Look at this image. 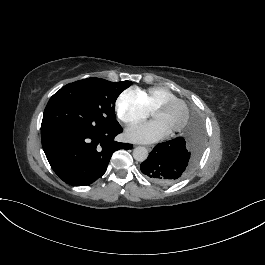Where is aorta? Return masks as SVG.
Wrapping results in <instances>:
<instances>
[{
  "instance_id": "obj_1",
  "label": "aorta",
  "mask_w": 265,
  "mask_h": 265,
  "mask_svg": "<svg viewBox=\"0 0 265 265\" xmlns=\"http://www.w3.org/2000/svg\"><path fill=\"white\" fill-rule=\"evenodd\" d=\"M133 157L139 162H143L148 158V151L145 147L138 146L133 150Z\"/></svg>"
}]
</instances>
